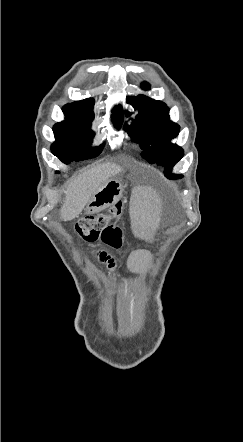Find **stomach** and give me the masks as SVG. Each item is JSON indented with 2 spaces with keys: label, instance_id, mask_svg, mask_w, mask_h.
Listing matches in <instances>:
<instances>
[{
  "label": "stomach",
  "instance_id": "0dacf381",
  "mask_svg": "<svg viewBox=\"0 0 243 442\" xmlns=\"http://www.w3.org/2000/svg\"><path fill=\"white\" fill-rule=\"evenodd\" d=\"M122 193V183L115 178L108 179L96 190L93 197L87 203L85 212L87 214H95L106 209L120 199Z\"/></svg>",
  "mask_w": 243,
  "mask_h": 442
}]
</instances>
